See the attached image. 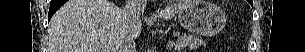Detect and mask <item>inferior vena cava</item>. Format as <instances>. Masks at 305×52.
Instances as JSON below:
<instances>
[{
    "instance_id": "inferior-vena-cava-1",
    "label": "inferior vena cava",
    "mask_w": 305,
    "mask_h": 52,
    "mask_svg": "<svg viewBox=\"0 0 305 52\" xmlns=\"http://www.w3.org/2000/svg\"><path fill=\"white\" fill-rule=\"evenodd\" d=\"M147 0H127L122 10L125 30L122 33L119 43V52H135V31L134 28L140 23V16L146 9Z\"/></svg>"
}]
</instances>
